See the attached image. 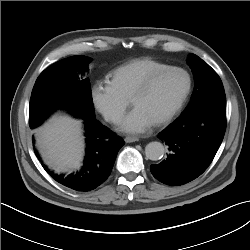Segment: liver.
<instances>
[{"label":"liver","instance_id":"6515ba94","mask_svg":"<svg viewBox=\"0 0 250 250\" xmlns=\"http://www.w3.org/2000/svg\"><path fill=\"white\" fill-rule=\"evenodd\" d=\"M39 146L46 163L56 172L78 168L84 149L81 121L54 116L39 129Z\"/></svg>","mask_w":250,"mask_h":250}]
</instances>
